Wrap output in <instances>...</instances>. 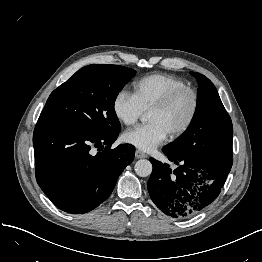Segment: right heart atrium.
I'll list each match as a JSON object with an SVG mask.
<instances>
[{
	"mask_svg": "<svg viewBox=\"0 0 262 262\" xmlns=\"http://www.w3.org/2000/svg\"><path fill=\"white\" fill-rule=\"evenodd\" d=\"M113 112L124 125H133L143 114V109L133 93L119 91L113 101Z\"/></svg>",
	"mask_w": 262,
	"mask_h": 262,
	"instance_id": "d8ad5b80",
	"label": "right heart atrium"
}]
</instances>
